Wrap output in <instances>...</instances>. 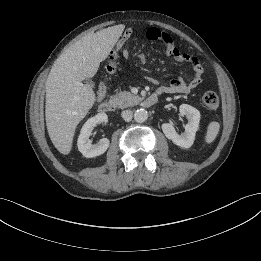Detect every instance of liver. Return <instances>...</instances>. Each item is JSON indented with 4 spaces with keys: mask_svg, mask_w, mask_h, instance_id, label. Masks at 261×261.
<instances>
[{
    "mask_svg": "<svg viewBox=\"0 0 261 261\" xmlns=\"http://www.w3.org/2000/svg\"><path fill=\"white\" fill-rule=\"evenodd\" d=\"M123 30V25H116L81 38L59 56L50 70L46 126L53 145L64 155L71 151L75 129L96 100L92 87L82 81L95 76Z\"/></svg>",
    "mask_w": 261,
    "mask_h": 261,
    "instance_id": "6515ba94",
    "label": "liver"
}]
</instances>
